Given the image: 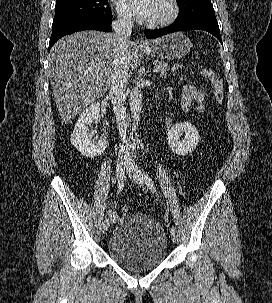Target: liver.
Instances as JSON below:
<instances>
[{
	"instance_id": "1",
	"label": "liver",
	"mask_w": 272,
	"mask_h": 303,
	"mask_svg": "<svg viewBox=\"0 0 272 303\" xmlns=\"http://www.w3.org/2000/svg\"><path fill=\"white\" fill-rule=\"evenodd\" d=\"M127 49L130 56L133 44L129 43ZM115 53L112 34L92 30L65 36L51 48L48 69L63 122H71L107 92Z\"/></svg>"
}]
</instances>
